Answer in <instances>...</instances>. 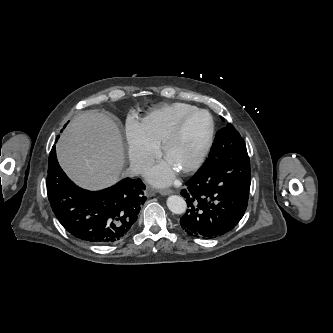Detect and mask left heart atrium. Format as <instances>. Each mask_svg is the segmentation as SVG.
<instances>
[{
  "instance_id": "39dd6f15",
  "label": "left heart atrium",
  "mask_w": 333,
  "mask_h": 333,
  "mask_svg": "<svg viewBox=\"0 0 333 333\" xmlns=\"http://www.w3.org/2000/svg\"><path fill=\"white\" fill-rule=\"evenodd\" d=\"M174 173L175 169L168 162H163L148 172V179L156 186H165L172 182Z\"/></svg>"
}]
</instances>
